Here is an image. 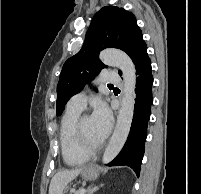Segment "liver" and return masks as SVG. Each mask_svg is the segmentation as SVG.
<instances>
[{"mask_svg":"<svg viewBox=\"0 0 201 194\" xmlns=\"http://www.w3.org/2000/svg\"><path fill=\"white\" fill-rule=\"evenodd\" d=\"M83 168L72 170H61L57 172L51 179L49 186V194H63V191L68 183L74 180L81 172Z\"/></svg>","mask_w":201,"mask_h":194,"instance_id":"liver-1","label":"liver"}]
</instances>
